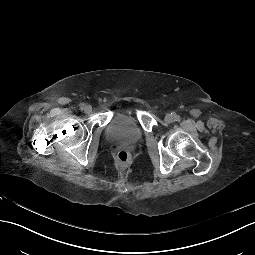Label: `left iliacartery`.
I'll list each match as a JSON object with an SVG mask.
<instances>
[{
	"label": "left iliac artery",
	"mask_w": 255,
	"mask_h": 255,
	"mask_svg": "<svg viewBox=\"0 0 255 255\" xmlns=\"http://www.w3.org/2000/svg\"><path fill=\"white\" fill-rule=\"evenodd\" d=\"M175 120H176V121H180V116H179V115H176V116H175Z\"/></svg>",
	"instance_id": "44dca946"
}]
</instances>
